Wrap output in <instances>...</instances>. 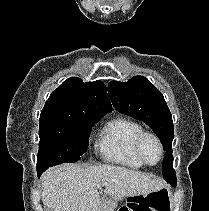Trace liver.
<instances>
[{
  "mask_svg": "<svg viewBox=\"0 0 209 211\" xmlns=\"http://www.w3.org/2000/svg\"><path fill=\"white\" fill-rule=\"evenodd\" d=\"M41 200L51 211H105L99 190L114 201L160 190L163 181L114 165L62 164L41 176Z\"/></svg>",
  "mask_w": 209,
  "mask_h": 211,
  "instance_id": "liver-1",
  "label": "liver"
}]
</instances>
